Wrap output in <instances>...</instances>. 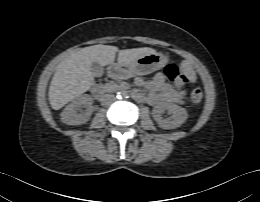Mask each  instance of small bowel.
<instances>
[{"mask_svg": "<svg viewBox=\"0 0 260 202\" xmlns=\"http://www.w3.org/2000/svg\"><path fill=\"white\" fill-rule=\"evenodd\" d=\"M135 82L138 86L145 87L149 90L147 96H143L141 93L140 95L141 99L145 100L150 105H156L162 102L183 103V93L175 90L169 85L162 73H157L148 81L141 77H137Z\"/></svg>", "mask_w": 260, "mask_h": 202, "instance_id": "c3829d8e", "label": "small bowel"}]
</instances>
